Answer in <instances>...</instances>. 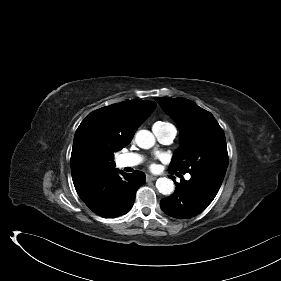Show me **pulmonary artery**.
Masks as SVG:
<instances>
[{
	"label": "pulmonary artery",
	"instance_id": "e3ab8cb5",
	"mask_svg": "<svg viewBox=\"0 0 281 281\" xmlns=\"http://www.w3.org/2000/svg\"><path fill=\"white\" fill-rule=\"evenodd\" d=\"M153 132L157 140L162 144H170L176 137L177 131L173 125L166 127L153 126ZM142 160V157L138 154H125L120 158V164L123 167H133L138 165ZM187 180L191 178L190 174L185 176Z\"/></svg>",
	"mask_w": 281,
	"mask_h": 281
}]
</instances>
